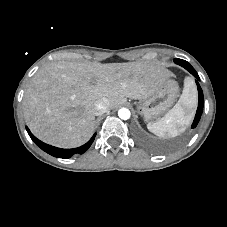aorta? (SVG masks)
Masks as SVG:
<instances>
[{"instance_id": "1", "label": "aorta", "mask_w": 227, "mask_h": 227, "mask_svg": "<svg viewBox=\"0 0 227 227\" xmlns=\"http://www.w3.org/2000/svg\"><path fill=\"white\" fill-rule=\"evenodd\" d=\"M118 116L122 120H128L131 116V113H130L129 109L121 108V109L118 110Z\"/></svg>"}]
</instances>
